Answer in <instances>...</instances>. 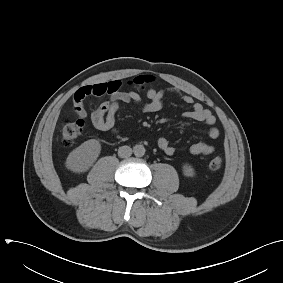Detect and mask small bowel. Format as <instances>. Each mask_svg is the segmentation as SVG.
Returning a JSON list of instances; mask_svg holds the SVG:
<instances>
[{"instance_id":"small-bowel-1","label":"small bowel","mask_w":283,"mask_h":283,"mask_svg":"<svg viewBox=\"0 0 283 283\" xmlns=\"http://www.w3.org/2000/svg\"><path fill=\"white\" fill-rule=\"evenodd\" d=\"M168 93L178 95L185 104L191 107L189 111L185 112V118L203 122L209 127L208 137L212 140L218 138L219 130L215 127V115L201 103L196 102L192 96L184 94L174 87L161 90L149 89L147 92L148 102L142 104L140 95L135 91H122L121 82L118 80L86 85L75 92L73 96V108L75 115L82 120L87 117V112L83 105L85 98L88 96L107 95L108 99L103 101L91 113L90 120L97 130L116 133V114L121 104L135 103L141 105L143 112L155 113L163 109L164 98ZM157 145L167 155H173L176 152V147L170 144L165 137L159 138ZM213 151L214 147L205 141L196 142L190 147V152L193 155H209Z\"/></svg>"}]
</instances>
